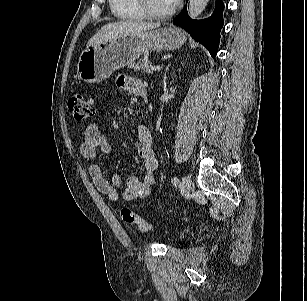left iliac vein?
I'll return each instance as SVG.
<instances>
[{"instance_id":"4c4485c4","label":"left iliac vein","mask_w":307,"mask_h":301,"mask_svg":"<svg viewBox=\"0 0 307 301\" xmlns=\"http://www.w3.org/2000/svg\"><path fill=\"white\" fill-rule=\"evenodd\" d=\"M191 178L188 176V175H185L183 178H182V182H181V188L183 190V192L185 194H190L191 192Z\"/></svg>"}]
</instances>
